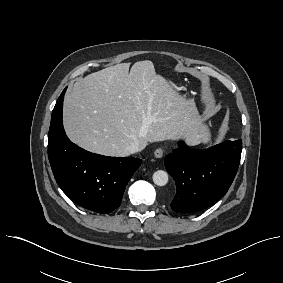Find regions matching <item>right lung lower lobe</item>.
<instances>
[{
	"label": "right lung lower lobe",
	"mask_w": 283,
	"mask_h": 283,
	"mask_svg": "<svg viewBox=\"0 0 283 283\" xmlns=\"http://www.w3.org/2000/svg\"><path fill=\"white\" fill-rule=\"evenodd\" d=\"M65 90L53 109L48 135V157L54 177L78 205L110 213L120 205L125 187L142 160L93 154L73 144L62 125Z\"/></svg>",
	"instance_id": "obj_1"
}]
</instances>
